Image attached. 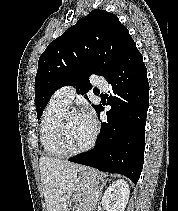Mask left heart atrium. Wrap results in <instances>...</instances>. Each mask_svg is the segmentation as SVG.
I'll return each mask as SVG.
<instances>
[{"label":"left heart atrium","instance_id":"1","mask_svg":"<svg viewBox=\"0 0 178 211\" xmlns=\"http://www.w3.org/2000/svg\"><path fill=\"white\" fill-rule=\"evenodd\" d=\"M82 116H83L91 125L94 124L92 114H91V112H90L89 110H87Z\"/></svg>","mask_w":178,"mask_h":211}]
</instances>
